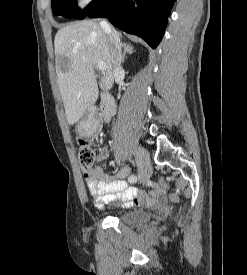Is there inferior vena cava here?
Wrapping results in <instances>:
<instances>
[{"instance_id":"1","label":"inferior vena cava","mask_w":247,"mask_h":275,"mask_svg":"<svg viewBox=\"0 0 247 275\" xmlns=\"http://www.w3.org/2000/svg\"><path fill=\"white\" fill-rule=\"evenodd\" d=\"M100 26L109 34V41L111 46V54H112V68L113 75L117 76L122 72V50H121V42L118 34L114 31L108 23L103 20L100 22Z\"/></svg>"}]
</instances>
